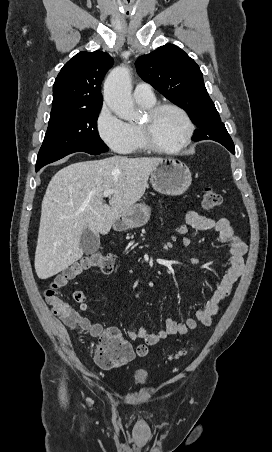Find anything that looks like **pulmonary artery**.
Returning <instances> with one entry per match:
<instances>
[{
  "label": "pulmonary artery",
  "instance_id": "e3ab8cb5",
  "mask_svg": "<svg viewBox=\"0 0 272 452\" xmlns=\"http://www.w3.org/2000/svg\"><path fill=\"white\" fill-rule=\"evenodd\" d=\"M134 98L139 102L153 103L155 102V95L153 88L148 83H139L134 89Z\"/></svg>",
  "mask_w": 272,
  "mask_h": 452
}]
</instances>
